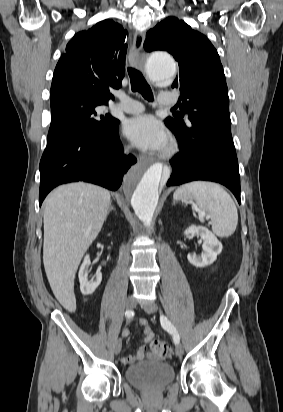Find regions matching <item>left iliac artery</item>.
<instances>
[{"label":"left iliac artery","instance_id":"44dca946","mask_svg":"<svg viewBox=\"0 0 283 412\" xmlns=\"http://www.w3.org/2000/svg\"><path fill=\"white\" fill-rule=\"evenodd\" d=\"M160 322H161L162 327L166 331H168L170 334H172L174 343L175 344L179 343L180 342L179 334L176 328L174 327V325L167 319V317H165L164 315H161Z\"/></svg>","mask_w":283,"mask_h":412}]
</instances>
